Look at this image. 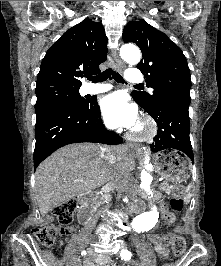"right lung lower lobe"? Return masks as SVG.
Here are the masks:
<instances>
[{"label":"right lung lower lobe","instance_id":"1","mask_svg":"<svg viewBox=\"0 0 221 266\" xmlns=\"http://www.w3.org/2000/svg\"><path fill=\"white\" fill-rule=\"evenodd\" d=\"M35 130L34 170L52 152L67 144L122 143L120 136L103 125L96 98L82 108L58 107L50 110L37 118Z\"/></svg>","mask_w":221,"mask_h":266}]
</instances>
